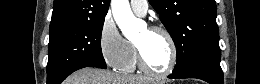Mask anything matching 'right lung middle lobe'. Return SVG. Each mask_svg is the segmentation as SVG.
Listing matches in <instances>:
<instances>
[{"label":"right lung middle lobe","instance_id":"dd1d6c3e","mask_svg":"<svg viewBox=\"0 0 260 84\" xmlns=\"http://www.w3.org/2000/svg\"><path fill=\"white\" fill-rule=\"evenodd\" d=\"M104 19L85 20L50 32L47 84H60L84 67L106 68L100 45Z\"/></svg>","mask_w":260,"mask_h":84}]
</instances>
